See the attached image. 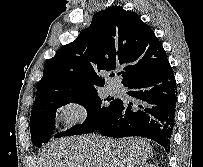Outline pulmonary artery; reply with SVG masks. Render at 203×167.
<instances>
[{"instance_id":"e3ab8cb5","label":"pulmonary artery","mask_w":203,"mask_h":167,"mask_svg":"<svg viewBox=\"0 0 203 167\" xmlns=\"http://www.w3.org/2000/svg\"><path fill=\"white\" fill-rule=\"evenodd\" d=\"M110 88H111V90L115 91V90H117L118 86L117 85H111Z\"/></svg>"}]
</instances>
